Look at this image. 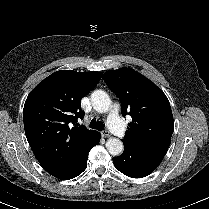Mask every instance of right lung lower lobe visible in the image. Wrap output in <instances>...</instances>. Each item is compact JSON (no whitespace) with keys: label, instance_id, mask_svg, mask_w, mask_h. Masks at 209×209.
Instances as JSON below:
<instances>
[{"label":"right lung lower lobe","instance_id":"right-lung-lower-lobe-1","mask_svg":"<svg viewBox=\"0 0 209 209\" xmlns=\"http://www.w3.org/2000/svg\"><path fill=\"white\" fill-rule=\"evenodd\" d=\"M100 141V134L98 132L84 144L76 157L59 173L54 175L61 180H69L80 175L87 167L88 153L91 148L97 145Z\"/></svg>","mask_w":209,"mask_h":209}]
</instances>
